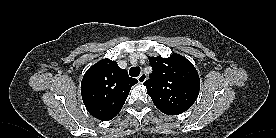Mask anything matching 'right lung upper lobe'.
Listing matches in <instances>:
<instances>
[{
	"instance_id": "cb5924a9",
	"label": "right lung upper lobe",
	"mask_w": 276,
	"mask_h": 138,
	"mask_svg": "<svg viewBox=\"0 0 276 138\" xmlns=\"http://www.w3.org/2000/svg\"><path fill=\"white\" fill-rule=\"evenodd\" d=\"M137 82L115 61L103 59L97 62L87 70L81 82V95L87 111L102 121L113 119Z\"/></svg>"
}]
</instances>
